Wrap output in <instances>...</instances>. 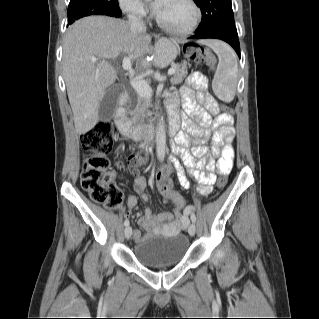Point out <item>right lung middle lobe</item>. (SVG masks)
<instances>
[{"label": "right lung middle lobe", "instance_id": "right-lung-middle-lobe-1", "mask_svg": "<svg viewBox=\"0 0 319 319\" xmlns=\"http://www.w3.org/2000/svg\"><path fill=\"white\" fill-rule=\"evenodd\" d=\"M118 0H70L68 23L90 15H109L119 12Z\"/></svg>", "mask_w": 319, "mask_h": 319}]
</instances>
